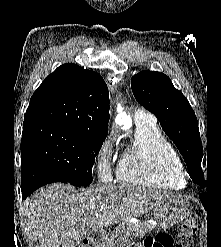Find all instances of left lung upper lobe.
<instances>
[{
    "mask_svg": "<svg viewBox=\"0 0 221 247\" xmlns=\"http://www.w3.org/2000/svg\"><path fill=\"white\" fill-rule=\"evenodd\" d=\"M135 99L153 113L182 154L192 180L205 187L198 121L188 100L170 78L155 71H141L131 79Z\"/></svg>",
    "mask_w": 221,
    "mask_h": 247,
    "instance_id": "left-lung-upper-lobe-1",
    "label": "left lung upper lobe"
}]
</instances>
